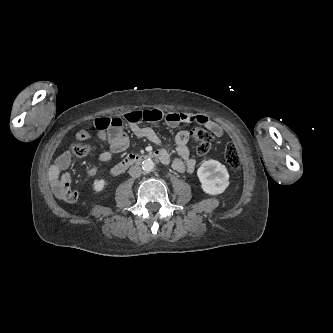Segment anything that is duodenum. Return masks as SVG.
<instances>
[{"label":"duodenum","mask_w":333,"mask_h":333,"mask_svg":"<svg viewBox=\"0 0 333 333\" xmlns=\"http://www.w3.org/2000/svg\"><path fill=\"white\" fill-rule=\"evenodd\" d=\"M159 160L162 161L161 155L158 151H153L149 153H133L128 156H126L124 159H122L120 162H118L116 165L112 168V173L114 175H121L123 174L129 167L140 164L146 160Z\"/></svg>","instance_id":"obj_1"}]
</instances>
